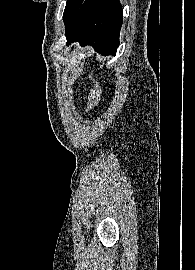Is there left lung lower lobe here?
I'll return each mask as SVG.
<instances>
[{
  "label": "left lung lower lobe",
  "instance_id": "obj_1",
  "mask_svg": "<svg viewBox=\"0 0 195 270\" xmlns=\"http://www.w3.org/2000/svg\"><path fill=\"white\" fill-rule=\"evenodd\" d=\"M119 0H84L72 22L65 28L67 45L78 41L101 55H115L122 25Z\"/></svg>",
  "mask_w": 195,
  "mask_h": 270
}]
</instances>
